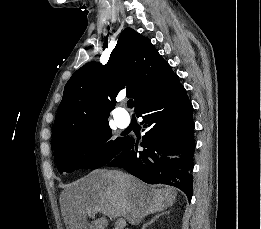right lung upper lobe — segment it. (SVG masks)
Segmentation results:
<instances>
[{
    "label": "right lung upper lobe",
    "instance_id": "1",
    "mask_svg": "<svg viewBox=\"0 0 261 229\" xmlns=\"http://www.w3.org/2000/svg\"><path fill=\"white\" fill-rule=\"evenodd\" d=\"M175 76L148 38L124 29L106 65L87 63L65 85L53 125L52 149L66 139L69 127L108 122L121 90L134 98L137 111Z\"/></svg>",
    "mask_w": 261,
    "mask_h": 229
}]
</instances>
